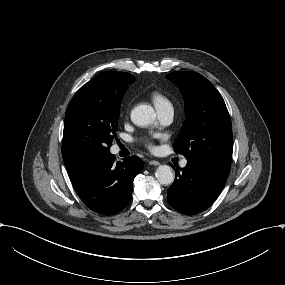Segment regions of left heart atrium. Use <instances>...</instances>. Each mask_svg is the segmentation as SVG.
Here are the masks:
<instances>
[{
    "instance_id": "left-heart-atrium-1",
    "label": "left heart atrium",
    "mask_w": 285,
    "mask_h": 285,
    "mask_svg": "<svg viewBox=\"0 0 285 285\" xmlns=\"http://www.w3.org/2000/svg\"><path fill=\"white\" fill-rule=\"evenodd\" d=\"M144 142L147 143L150 146L148 139H144Z\"/></svg>"
}]
</instances>
